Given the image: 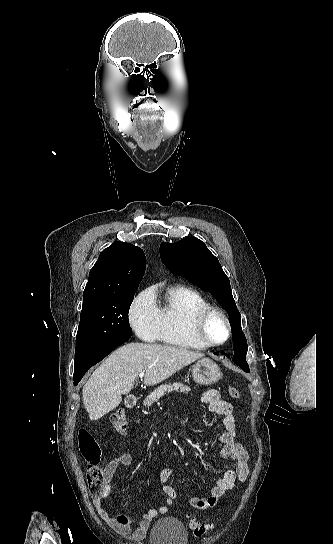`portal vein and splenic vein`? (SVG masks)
I'll use <instances>...</instances> for the list:
<instances>
[{"label":"portal vein and splenic vein","instance_id":"18ae733b","mask_svg":"<svg viewBox=\"0 0 333 544\" xmlns=\"http://www.w3.org/2000/svg\"><path fill=\"white\" fill-rule=\"evenodd\" d=\"M144 374H145L144 371L140 372L139 377H140V378H143V377H144Z\"/></svg>","mask_w":333,"mask_h":544}]
</instances>
